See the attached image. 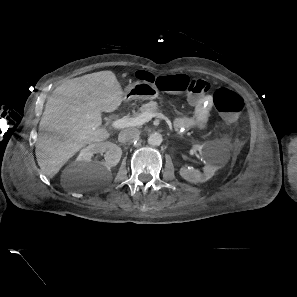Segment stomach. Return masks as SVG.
Returning <instances> with one entry per match:
<instances>
[{"label": "stomach", "instance_id": "obj_1", "mask_svg": "<svg viewBox=\"0 0 297 297\" xmlns=\"http://www.w3.org/2000/svg\"><path fill=\"white\" fill-rule=\"evenodd\" d=\"M159 95L157 87L146 80H140L128 85L123 93V100L130 101L132 99L152 100Z\"/></svg>", "mask_w": 297, "mask_h": 297}]
</instances>
